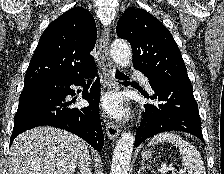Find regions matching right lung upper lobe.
Masks as SVG:
<instances>
[{
	"instance_id": "right-lung-upper-lobe-1",
	"label": "right lung upper lobe",
	"mask_w": 224,
	"mask_h": 174,
	"mask_svg": "<svg viewBox=\"0 0 224 174\" xmlns=\"http://www.w3.org/2000/svg\"><path fill=\"white\" fill-rule=\"evenodd\" d=\"M96 24L84 8H72L55 19L42 34L30 60L24 85L78 76L95 67L90 51Z\"/></svg>"
}]
</instances>
